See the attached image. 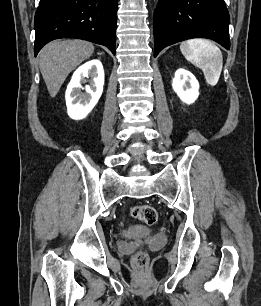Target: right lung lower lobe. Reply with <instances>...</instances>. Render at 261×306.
<instances>
[{
    "instance_id": "98d812e1",
    "label": "right lung lower lobe",
    "mask_w": 261,
    "mask_h": 306,
    "mask_svg": "<svg viewBox=\"0 0 261 306\" xmlns=\"http://www.w3.org/2000/svg\"><path fill=\"white\" fill-rule=\"evenodd\" d=\"M118 0H40L35 14V56L49 41L77 38L115 54Z\"/></svg>"
}]
</instances>
